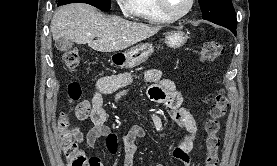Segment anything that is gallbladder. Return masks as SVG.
I'll use <instances>...</instances> for the list:
<instances>
[{
	"mask_svg": "<svg viewBox=\"0 0 277 166\" xmlns=\"http://www.w3.org/2000/svg\"><path fill=\"white\" fill-rule=\"evenodd\" d=\"M55 45L60 51H69L73 47V42L65 39H59L56 41Z\"/></svg>",
	"mask_w": 277,
	"mask_h": 166,
	"instance_id": "gallbladder-1",
	"label": "gallbladder"
}]
</instances>
